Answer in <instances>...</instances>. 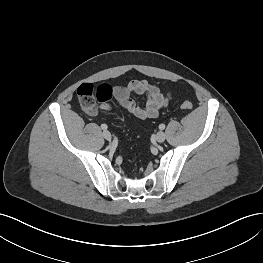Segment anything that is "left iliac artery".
Wrapping results in <instances>:
<instances>
[{
	"instance_id": "44dca946",
	"label": "left iliac artery",
	"mask_w": 263,
	"mask_h": 263,
	"mask_svg": "<svg viewBox=\"0 0 263 263\" xmlns=\"http://www.w3.org/2000/svg\"><path fill=\"white\" fill-rule=\"evenodd\" d=\"M165 128V125L164 124H160L159 125V129L163 130Z\"/></svg>"
}]
</instances>
